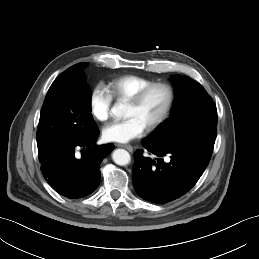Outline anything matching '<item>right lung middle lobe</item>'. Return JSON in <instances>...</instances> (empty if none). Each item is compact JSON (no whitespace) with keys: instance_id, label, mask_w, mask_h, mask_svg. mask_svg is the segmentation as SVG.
Here are the masks:
<instances>
[{"instance_id":"right-lung-middle-lobe-1","label":"right lung middle lobe","mask_w":259,"mask_h":259,"mask_svg":"<svg viewBox=\"0 0 259 259\" xmlns=\"http://www.w3.org/2000/svg\"><path fill=\"white\" fill-rule=\"evenodd\" d=\"M87 64L78 63L71 81L48 90L36 135L39 155L75 144L97 128L91 115L92 92L83 72Z\"/></svg>"}]
</instances>
